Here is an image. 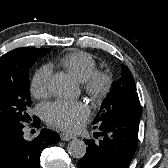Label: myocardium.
<instances>
[{
	"label": "myocardium",
	"instance_id": "obj_1",
	"mask_svg": "<svg viewBox=\"0 0 168 168\" xmlns=\"http://www.w3.org/2000/svg\"><path fill=\"white\" fill-rule=\"evenodd\" d=\"M85 92L95 101H103L112 88V77L104 71L94 72L83 82Z\"/></svg>",
	"mask_w": 168,
	"mask_h": 168
}]
</instances>
